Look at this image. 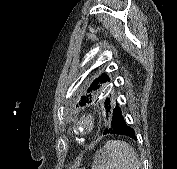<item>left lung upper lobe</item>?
<instances>
[{"instance_id": "1", "label": "left lung upper lobe", "mask_w": 177, "mask_h": 169, "mask_svg": "<svg viewBox=\"0 0 177 169\" xmlns=\"http://www.w3.org/2000/svg\"><path fill=\"white\" fill-rule=\"evenodd\" d=\"M110 81V77L103 73L96 77L91 84H87L85 88V95L81 96L78 106H84L96 100L101 93H104L105 84ZM105 108L107 113H111L112 105L109 98L105 101ZM110 122L106 125L105 130L109 127Z\"/></svg>"}]
</instances>
